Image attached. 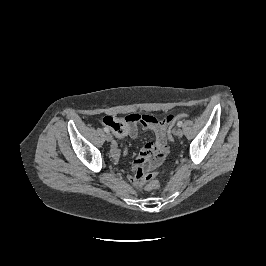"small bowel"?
<instances>
[{
  "instance_id": "c3829d8e",
  "label": "small bowel",
  "mask_w": 266,
  "mask_h": 266,
  "mask_svg": "<svg viewBox=\"0 0 266 266\" xmlns=\"http://www.w3.org/2000/svg\"><path fill=\"white\" fill-rule=\"evenodd\" d=\"M175 120L176 116L173 114L162 119L145 114H130L122 118L106 116L103 119L104 124L109 126L113 133L119 137L129 135L136 138L138 135L137 124L150 128L155 132L156 142L143 144L134 162V174L128 177L133 184L138 185L145 172L156 168L163 162L169 151L166 130ZM113 153L115 156L118 155L117 147L113 148Z\"/></svg>"
}]
</instances>
